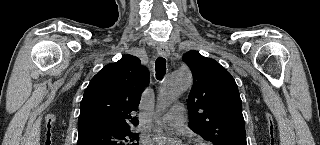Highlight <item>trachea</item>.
I'll list each match as a JSON object with an SVG mask.
<instances>
[{"mask_svg": "<svg viewBox=\"0 0 320 145\" xmlns=\"http://www.w3.org/2000/svg\"><path fill=\"white\" fill-rule=\"evenodd\" d=\"M156 78L162 80L166 73V59L163 57L157 58L155 62Z\"/></svg>", "mask_w": 320, "mask_h": 145, "instance_id": "1", "label": "trachea"}]
</instances>
